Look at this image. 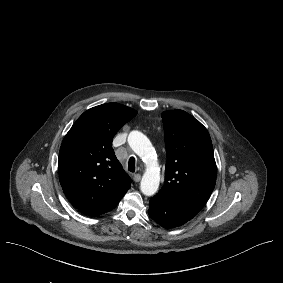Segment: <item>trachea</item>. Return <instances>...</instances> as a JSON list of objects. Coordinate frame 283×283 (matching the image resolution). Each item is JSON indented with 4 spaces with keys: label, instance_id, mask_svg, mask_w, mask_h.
<instances>
[{
    "label": "trachea",
    "instance_id": "obj_1",
    "mask_svg": "<svg viewBox=\"0 0 283 283\" xmlns=\"http://www.w3.org/2000/svg\"><path fill=\"white\" fill-rule=\"evenodd\" d=\"M128 170L130 172H134L135 171V158L134 157H130L129 161H128Z\"/></svg>",
    "mask_w": 283,
    "mask_h": 283
}]
</instances>
